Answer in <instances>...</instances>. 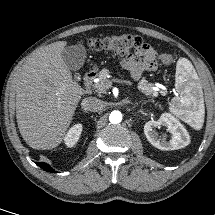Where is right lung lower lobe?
Listing matches in <instances>:
<instances>
[{"mask_svg":"<svg viewBox=\"0 0 215 215\" xmlns=\"http://www.w3.org/2000/svg\"><path fill=\"white\" fill-rule=\"evenodd\" d=\"M36 164L47 172H55L54 169H52L51 166L46 163L36 162Z\"/></svg>","mask_w":215,"mask_h":215,"instance_id":"obj_1","label":"right lung lower lobe"}]
</instances>
